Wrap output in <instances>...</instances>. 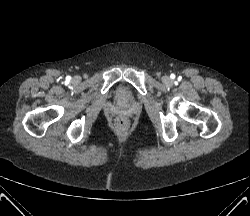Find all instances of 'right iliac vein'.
Instances as JSON below:
<instances>
[{"instance_id":"63e3f726","label":"right iliac vein","mask_w":250,"mask_h":216,"mask_svg":"<svg viewBox=\"0 0 250 216\" xmlns=\"http://www.w3.org/2000/svg\"><path fill=\"white\" fill-rule=\"evenodd\" d=\"M73 81H74V82H77V79L75 78Z\"/></svg>"}]
</instances>
